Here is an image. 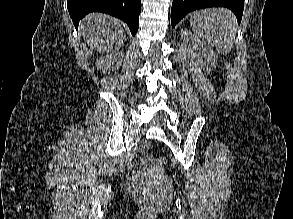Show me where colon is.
<instances>
[{
    "label": "colon",
    "instance_id": "1",
    "mask_svg": "<svg viewBox=\"0 0 293 219\" xmlns=\"http://www.w3.org/2000/svg\"><path fill=\"white\" fill-rule=\"evenodd\" d=\"M142 161L144 163L154 161L157 166H163L165 164V160L162 158L153 159V157L147 151V145L144 146V149L142 151ZM133 196L135 200H137L139 203L147 207L151 206L152 194L148 188L142 186L136 187L133 191Z\"/></svg>",
    "mask_w": 293,
    "mask_h": 219
}]
</instances>
